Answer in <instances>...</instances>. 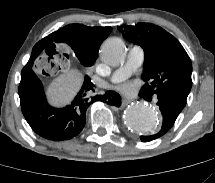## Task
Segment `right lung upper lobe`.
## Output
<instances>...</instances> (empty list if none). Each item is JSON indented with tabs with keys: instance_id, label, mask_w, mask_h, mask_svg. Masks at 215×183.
Wrapping results in <instances>:
<instances>
[{
	"instance_id": "1",
	"label": "right lung upper lobe",
	"mask_w": 215,
	"mask_h": 183,
	"mask_svg": "<svg viewBox=\"0 0 215 183\" xmlns=\"http://www.w3.org/2000/svg\"><path fill=\"white\" fill-rule=\"evenodd\" d=\"M111 27H87L82 24L67 25L50 34L52 38L45 37L33 48L32 54L39 55L43 50L54 49L59 42L67 43L70 37L79 39L84 51L91 57H97V51L103 40L110 34Z\"/></svg>"
}]
</instances>
